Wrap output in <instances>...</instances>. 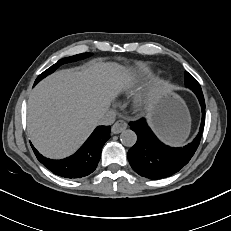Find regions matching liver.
<instances>
[{
	"label": "liver",
	"mask_w": 231,
	"mask_h": 231,
	"mask_svg": "<svg viewBox=\"0 0 231 231\" xmlns=\"http://www.w3.org/2000/svg\"><path fill=\"white\" fill-rule=\"evenodd\" d=\"M131 85L123 66L101 60L48 76L28 100V134L33 145L53 159L74 153L98 125L111 101Z\"/></svg>",
	"instance_id": "6515ba94"
}]
</instances>
